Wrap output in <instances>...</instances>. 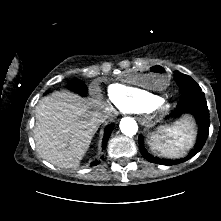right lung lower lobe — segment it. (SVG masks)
<instances>
[{"label":"right lung lower lobe","instance_id":"right-lung-lower-lobe-1","mask_svg":"<svg viewBox=\"0 0 221 221\" xmlns=\"http://www.w3.org/2000/svg\"><path fill=\"white\" fill-rule=\"evenodd\" d=\"M113 127L114 125H109L107 126V128L105 129V133H104V138H103V141H102V148L105 149L106 148V145H107V141L110 137V134L113 130ZM99 164V161L96 160L94 162H92V165L95 166V165H98Z\"/></svg>","mask_w":221,"mask_h":221}]
</instances>
